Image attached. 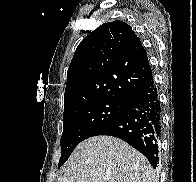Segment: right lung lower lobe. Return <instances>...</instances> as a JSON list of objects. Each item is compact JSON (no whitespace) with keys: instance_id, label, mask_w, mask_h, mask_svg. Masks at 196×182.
<instances>
[{"instance_id":"98d812e1","label":"right lung lower lobe","mask_w":196,"mask_h":182,"mask_svg":"<svg viewBox=\"0 0 196 182\" xmlns=\"http://www.w3.org/2000/svg\"><path fill=\"white\" fill-rule=\"evenodd\" d=\"M161 132V108L152 78L132 98L127 109L101 126L92 136L120 138L145 155L156 168Z\"/></svg>"}]
</instances>
